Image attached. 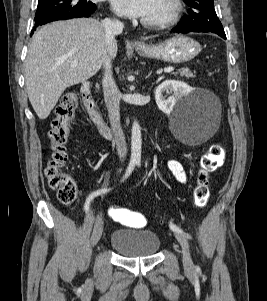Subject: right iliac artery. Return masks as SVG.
Wrapping results in <instances>:
<instances>
[{"instance_id": "1", "label": "right iliac artery", "mask_w": 267, "mask_h": 301, "mask_svg": "<svg viewBox=\"0 0 267 301\" xmlns=\"http://www.w3.org/2000/svg\"><path fill=\"white\" fill-rule=\"evenodd\" d=\"M135 167V162H130L129 163V166L126 170V173L124 175V177L122 178L121 182L124 181L126 178L129 177V175L131 174V172L133 171ZM111 189H107V188H103V189H99L97 191H95L94 193H92L90 196H89V199L86 201V204H85V210L88 211V208H89V203H90V200L98 195H103L105 193H107L108 191H110Z\"/></svg>"}]
</instances>
